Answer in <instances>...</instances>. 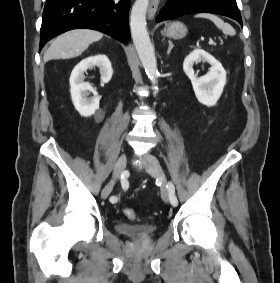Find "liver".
<instances>
[{
  "mask_svg": "<svg viewBox=\"0 0 280 283\" xmlns=\"http://www.w3.org/2000/svg\"><path fill=\"white\" fill-rule=\"evenodd\" d=\"M103 37L101 32L90 29H76L58 36L44 55V61L67 59L81 55L90 44Z\"/></svg>",
  "mask_w": 280,
  "mask_h": 283,
  "instance_id": "obj_1",
  "label": "liver"
}]
</instances>
